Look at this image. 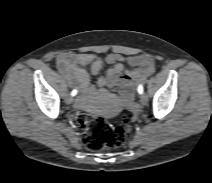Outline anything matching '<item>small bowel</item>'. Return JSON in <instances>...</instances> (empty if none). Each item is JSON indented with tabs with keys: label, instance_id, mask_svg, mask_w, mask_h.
<instances>
[{
	"label": "small bowel",
	"instance_id": "obj_1",
	"mask_svg": "<svg viewBox=\"0 0 212 183\" xmlns=\"http://www.w3.org/2000/svg\"><path fill=\"white\" fill-rule=\"evenodd\" d=\"M125 64L130 67L127 68ZM110 67L98 78L100 87L120 88L126 92L135 89L141 81L155 70L154 59L147 55L124 57L111 53L100 57L92 53H63L57 58L59 71L71 86H76L82 95L76 101V107H85L94 92L91 75L99 74L105 66ZM90 66V73L84 68Z\"/></svg>",
	"mask_w": 212,
	"mask_h": 183
}]
</instances>
